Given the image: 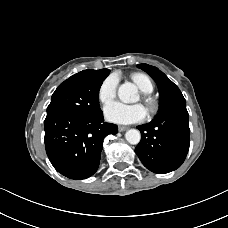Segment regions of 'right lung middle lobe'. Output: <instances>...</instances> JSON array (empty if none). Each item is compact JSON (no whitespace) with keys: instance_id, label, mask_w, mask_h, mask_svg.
<instances>
[{"instance_id":"obj_1","label":"right lung middle lobe","mask_w":228,"mask_h":228,"mask_svg":"<svg viewBox=\"0 0 228 228\" xmlns=\"http://www.w3.org/2000/svg\"><path fill=\"white\" fill-rule=\"evenodd\" d=\"M109 73L108 69L84 70L65 80L53 93L51 103L47 107V116L57 113H99V90Z\"/></svg>"}]
</instances>
